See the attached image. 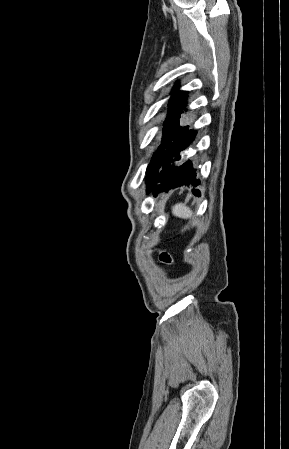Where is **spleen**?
Segmentation results:
<instances>
[{
	"instance_id": "3e777b00",
	"label": "spleen",
	"mask_w": 289,
	"mask_h": 449,
	"mask_svg": "<svg viewBox=\"0 0 289 449\" xmlns=\"http://www.w3.org/2000/svg\"><path fill=\"white\" fill-rule=\"evenodd\" d=\"M172 214L176 217L187 219L192 217V210L182 203L175 204L172 207Z\"/></svg>"
}]
</instances>
